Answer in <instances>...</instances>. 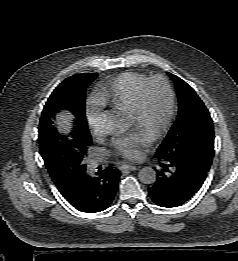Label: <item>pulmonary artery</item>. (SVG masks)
Masks as SVG:
<instances>
[{"label": "pulmonary artery", "mask_w": 238, "mask_h": 261, "mask_svg": "<svg viewBox=\"0 0 238 261\" xmlns=\"http://www.w3.org/2000/svg\"><path fill=\"white\" fill-rule=\"evenodd\" d=\"M98 162H99V160H96V161H95V164H97Z\"/></svg>", "instance_id": "pulmonary-artery-1"}]
</instances>
